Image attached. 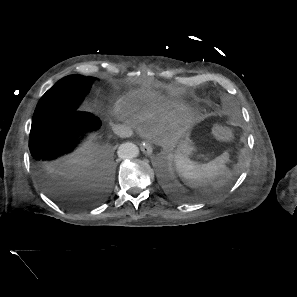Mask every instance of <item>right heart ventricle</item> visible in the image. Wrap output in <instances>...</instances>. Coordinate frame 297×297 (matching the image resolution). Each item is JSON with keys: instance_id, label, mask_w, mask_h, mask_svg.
<instances>
[{"instance_id": "obj_1", "label": "right heart ventricle", "mask_w": 297, "mask_h": 297, "mask_svg": "<svg viewBox=\"0 0 297 297\" xmlns=\"http://www.w3.org/2000/svg\"><path fill=\"white\" fill-rule=\"evenodd\" d=\"M154 112V108L152 106H148L144 109H142L141 111L138 112V115L143 118V119H148L152 116ZM162 112V110H161Z\"/></svg>"}]
</instances>
